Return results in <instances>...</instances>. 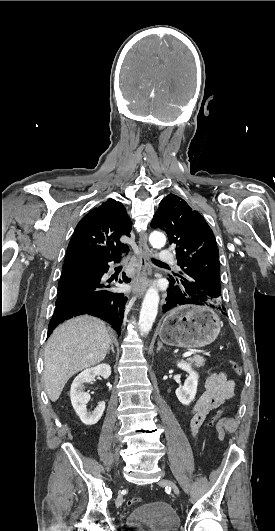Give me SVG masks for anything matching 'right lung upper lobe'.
I'll list each match as a JSON object with an SVG mask.
<instances>
[{
    "mask_svg": "<svg viewBox=\"0 0 275 531\" xmlns=\"http://www.w3.org/2000/svg\"><path fill=\"white\" fill-rule=\"evenodd\" d=\"M130 231L131 220L123 204L110 198L79 221L68 245L65 263L119 254L128 248L119 239L123 235L130 236Z\"/></svg>",
    "mask_w": 275,
    "mask_h": 531,
    "instance_id": "right-lung-upper-lobe-1",
    "label": "right lung upper lobe"
}]
</instances>
